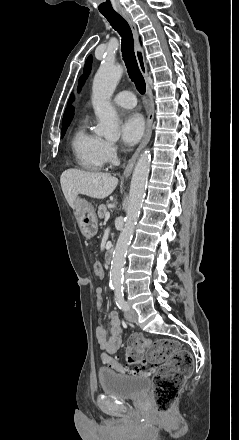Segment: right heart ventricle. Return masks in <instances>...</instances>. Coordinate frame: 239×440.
<instances>
[{
	"instance_id": "obj_1",
	"label": "right heart ventricle",
	"mask_w": 239,
	"mask_h": 440,
	"mask_svg": "<svg viewBox=\"0 0 239 440\" xmlns=\"http://www.w3.org/2000/svg\"><path fill=\"white\" fill-rule=\"evenodd\" d=\"M102 139L79 127L72 135L70 141L71 152L76 164L88 171H99L105 165L101 152Z\"/></svg>"
}]
</instances>
